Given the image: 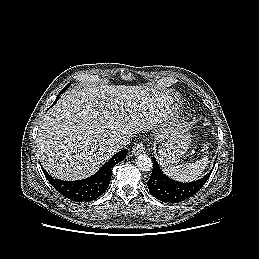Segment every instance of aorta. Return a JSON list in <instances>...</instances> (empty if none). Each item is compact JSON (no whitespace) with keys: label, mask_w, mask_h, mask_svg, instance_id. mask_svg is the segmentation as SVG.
<instances>
[{"label":"aorta","mask_w":259,"mask_h":259,"mask_svg":"<svg viewBox=\"0 0 259 259\" xmlns=\"http://www.w3.org/2000/svg\"><path fill=\"white\" fill-rule=\"evenodd\" d=\"M136 166L143 172H148L152 169V160L148 155H139L135 160Z\"/></svg>","instance_id":"762f6f07"}]
</instances>
